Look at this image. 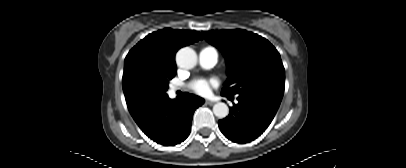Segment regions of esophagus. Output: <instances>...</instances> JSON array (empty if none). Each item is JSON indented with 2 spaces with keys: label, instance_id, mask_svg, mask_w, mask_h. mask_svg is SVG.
Returning <instances> with one entry per match:
<instances>
[{
  "label": "esophagus",
  "instance_id": "obj_1",
  "mask_svg": "<svg viewBox=\"0 0 406 168\" xmlns=\"http://www.w3.org/2000/svg\"><path fill=\"white\" fill-rule=\"evenodd\" d=\"M205 103H206L207 105H210V106L214 105V102H213V101H209V100H206Z\"/></svg>",
  "mask_w": 406,
  "mask_h": 168
}]
</instances>
